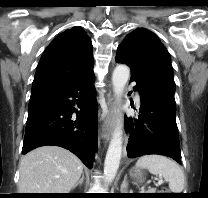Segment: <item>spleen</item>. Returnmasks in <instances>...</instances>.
I'll return each mask as SVG.
<instances>
[{"mask_svg": "<svg viewBox=\"0 0 208 198\" xmlns=\"http://www.w3.org/2000/svg\"><path fill=\"white\" fill-rule=\"evenodd\" d=\"M136 167L148 169L154 175L163 177L172 193H181L184 189V173L173 160L161 155H145L138 159Z\"/></svg>", "mask_w": 208, "mask_h": 198, "instance_id": "1", "label": "spleen"}]
</instances>
